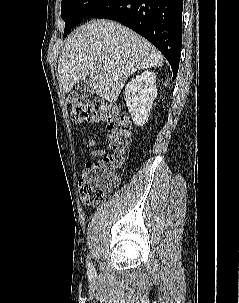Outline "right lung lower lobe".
<instances>
[{"label": "right lung lower lobe", "instance_id": "1", "mask_svg": "<svg viewBox=\"0 0 239 303\" xmlns=\"http://www.w3.org/2000/svg\"><path fill=\"white\" fill-rule=\"evenodd\" d=\"M183 0H106L87 17L120 22L166 57L176 78L182 45Z\"/></svg>", "mask_w": 239, "mask_h": 303}]
</instances>
